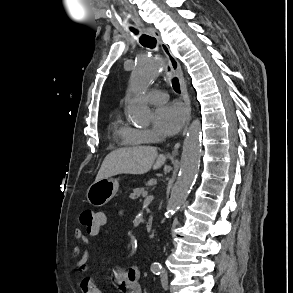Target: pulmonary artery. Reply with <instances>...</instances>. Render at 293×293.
Here are the masks:
<instances>
[{
    "instance_id": "e3ab8cb5",
    "label": "pulmonary artery",
    "mask_w": 293,
    "mask_h": 293,
    "mask_svg": "<svg viewBox=\"0 0 293 293\" xmlns=\"http://www.w3.org/2000/svg\"><path fill=\"white\" fill-rule=\"evenodd\" d=\"M144 97L152 104H162L167 101L168 94L161 90L151 89L145 93Z\"/></svg>"
}]
</instances>
